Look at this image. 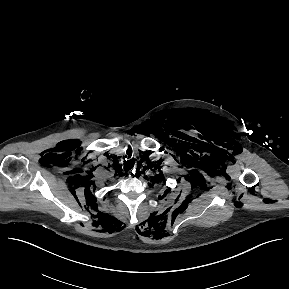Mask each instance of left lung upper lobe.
<instances>
[{
  "label": "left lung upper lobe",
  "instance_id": "obj_1",
  "mask_svg": "<svg viewBox=\"0 0 289 289\" xmlns=\"http://www.w3.org/2000/svg\"><path fill=\"white\" fill-rule=\"evenodd\" d=\"M162 178H163V176L162 175H159V176H156V182H160V181H162Z\"/></svg>",
  "mask_w": 289,
  "mask_h": 289
}]
</instances>
